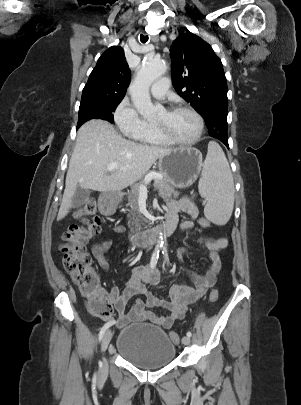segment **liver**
Here are the masks:
<instances>
[{"instance_id":"obj_1","label":"liver","mask_w":301,"mask_h":405,"mask_svg":"<svg viewBox=\"0 0 301 405\" xmlns=\"http://www.w3.org/2000/svg\"><path fill=\"white\" fill-rule=\"evenodd\" d=\"M170 150L126 140L104 120L86 122L77 132L57 220L69 213L78 186L99 192L120 191L142 179ZM114 162L118 166L108 173L107 165Z\"/></svg>"}]
</instances>
